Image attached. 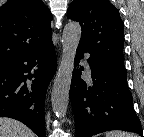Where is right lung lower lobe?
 <instances>
[{
	"label": "right lung lower lobe",
	"mask_w": 144,
	"mask_h": 137,
	"mask_svg": "<svg viewBox=\"0 0 144 137\" xmlns=\"http://www.w3.org/2000/svg\"><path fill=\"white\" fill-rule=\"evenodd\" d=\"M56 67L52 39L0 67V117L19 120L45 137V96Z\"/></svg>",
	"instance_id": "right-lung-lower-lobe-1"
}]
</instances>
